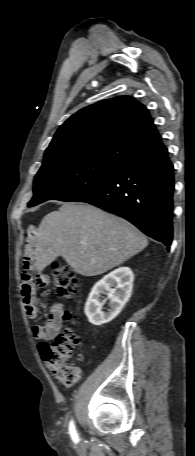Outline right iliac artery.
I'll use <instances>...</instances> for the list:
<instances>
[{"label": "right iliac artery", "instance_id": "obj_1", "mask_svg": "<svg viewBox=\"0 0 195 456\" xmlns=\"http://www.w3.org/2000/svg\"><path fill=\"white\" fill-rule=\"evenodd\" d=\"M69 432H70V435L73 440H75V441L78 440V434L76 432L75 424H74L73 420L70 421Z\"/></svg>", "mask_w": 195, "mask_h": 456}]
</instances>
